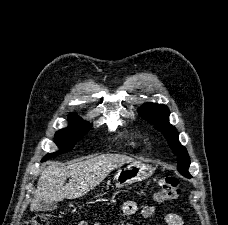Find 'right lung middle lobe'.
I'll list each match as a JSON object with an SVG mask.
<instances>
[{"instance_id":"obj_1","label":"right lung middle lobe","mask_w":228,"mask_h":225,"mask_svg":"<svg viewBox=\"0 0 228 225\" xmlns=\"http://www.w3.org/2000/svg\"><path fill=\"white\" fill-rule=\"evenodd\" d=\"M91 128V124L83 121L80 117L71 113L69 115V125L67 128L59 130L55 134V143L60 150L55 153L47 154L42 161L56 157L59 154L70 151L77 141H79Z\"/></svg>"}]
</instances>
